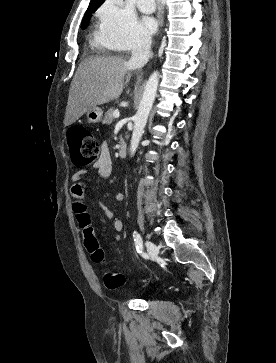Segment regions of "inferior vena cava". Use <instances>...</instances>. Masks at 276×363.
<instances>
[{
	"label": "inferior vena cava",
	"mask_w": 276,
	"mask_h": 363,
	"mask_svg": "<svg viewBox=\"0 0 276 363\" xmlns=\"http://www.w3.org/2000/svg\"><path fill=\"white\" fill-rule=\"evenodd\" d=\"M151 36L149 34L139 35L132 47V56L129 64L134 68L143 67L149 60L151 49Z\"/></svg>",
	"instance_id": "602c4592"
}]
</instances>
